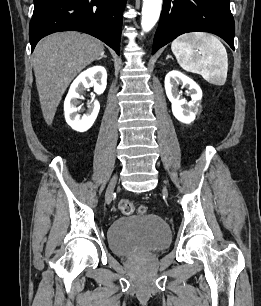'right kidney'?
Instances as JSON below:
<instances>
[{"mask_svg":"<svg viewBox=\"0 0 261 306\" xmlns=\"http://www.w3.org/2000/svg\"><path fill=\"white\" fill-rule=\"evenodd\" d=\"M107 85V72L102 66H94L82 72L71 84L69 92L64 101L65 119L72 129L78 132H85L95 122L100 104L97 100L94 101L91 109L83 116L77 113L78 99L84 88L94 87V91L100 95Z\"/></svg>","mask_w":261,"mask_h":306,"instance_id":"1","label":"right kidney"}]
</instances>
